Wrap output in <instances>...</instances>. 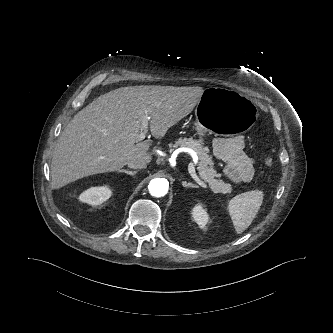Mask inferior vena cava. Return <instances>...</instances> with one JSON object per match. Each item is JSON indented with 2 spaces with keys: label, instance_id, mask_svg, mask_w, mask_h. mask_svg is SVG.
Wrapping results in <instances>:
<instances>
[{
  "label": "inferior vena cava",
  "instance_id": "602c4592",
  "mask_svg": "<svg viewBox=\"0 0 333 333\" xmlns=\"http://www.w3.org/2000/svg\"><path fill=\"white\" fill-rule=\"evenodd\" d=\"M128 167L132 169H144L147 167V163L143 160H131L128 162Z\"/></svg>",
  "mask_w": 333,
  "mask_h": 333
}]
</instances>
